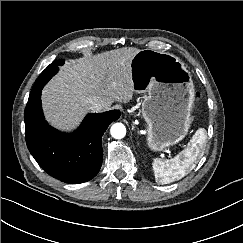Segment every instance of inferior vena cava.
<instances>
[{"label": "inferior vena cava", "mask_w": 243, "mask_h": 243, "mask_svg": "<svg viewBox=\"0 0 243 243\" xmlns=\"http://www.w3.org/2000/svg\"><path fill=\"white\" fill-rule=\"evenodd\" d=\"M85 105L94 112L101 111L107 107L104 100L100 99L98 96H90L84 100Z\"/></svg>", "instance_id": "602c4592"}]
</instances>
